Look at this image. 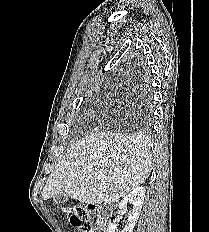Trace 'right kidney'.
Instances as JSON below:
<instances>
[{
    "label": "right kidney",
    "mask_w": 209,
    "mask_h": 232,
    "mask_svg": "<svg viewBox=\"0 0 209 232\" xmlns=\"http://www.w3.org/2000/svg\"><path fill=\"white\" fill-rule=\"evenodd\" d=\"M144 197L145 188L138 186L133 188L132 191L128 193L119 203V209L121 212L126 210L127 204H132V210L129 212L128 217L129 223L127 226H125L122 232H133L136 222L139 219ZM107 232H118L116 223H109Z\"/></svg>",
    "instance_id": "obj_1"
}]
</instances>
